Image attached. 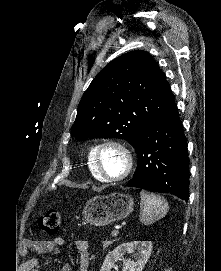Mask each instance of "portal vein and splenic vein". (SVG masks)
<instances>
[{
  "instance_id": "obj_1",
  "label": "portal vein and splenic vein",
  "mask_w": 221,
  "mask_h": 271,
  "mask_svg": "<svg viewBox=\"0 0 221 271\" xmlns=\"http://www.w3.org/2000/svg\"><path fill=\"white\" fill-rule=\"evenodd\" d=\"M117 233H119L118 229H114V231H112L111 235H117Z\"/></svg>"
}]
</instances>
